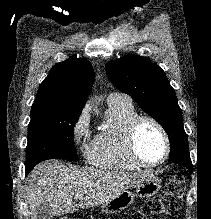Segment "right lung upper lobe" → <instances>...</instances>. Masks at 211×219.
I'll return each mask as SVG.
<instances>
[{
    "label": "right lung upper lobe",
    "mask_w": 211,
    "mask_h": 219,
    "mask_svg": "<svg viewBox=\"0 0 211 219\" xmlns=\"http://www.w3.org/2000/svg\"><path fill=\"white\" fill-rule=\"evenodd\" d=\"M86 59L70 57L52 67L41 83L33 105H46L56 112H80L94 82Z\"/></svg>",
    "instance_id": "right-lung-upper-lobe-1"
}]
</instances>
